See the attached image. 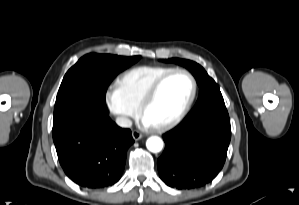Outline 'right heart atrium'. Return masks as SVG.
<instances>
[{
    "instance_id": "right-heart-atrium-1",
    "label": "right heart atrium",
    "mask_w": 299,
    "mask_h": 205,
    "mask_svg": "<svg viewBox=\"0 0 299 205\" xmlns=\"http://www.w3.org/2000/svg\"><path fill=\"white\" fill-rule=\"evenodd\" d=\"M104 102L109 112L117 118L121 125H127L137 114L136 109L124 100L120 90L116 86L106 91Z\"/></svg>"
}]
</instances>
